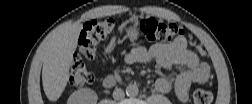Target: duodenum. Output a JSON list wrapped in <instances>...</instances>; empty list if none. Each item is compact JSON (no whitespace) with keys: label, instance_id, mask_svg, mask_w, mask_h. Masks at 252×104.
<instances>
[{"label":"duodenum","instance_id":"410a0bca","mask_svg":"<svg viewBox=\"0 0 252 104\" xmlns=\"http://www.w3.org/2000/svg\"><path fill=\"white\" fill-rule=\"evenodd\" d=\"M123 79V76L121 75H108L104 78L102 85L104 88H112L118 81Z\"/></svg>","mask_w":252,"mask_h":104}]
</instances>
